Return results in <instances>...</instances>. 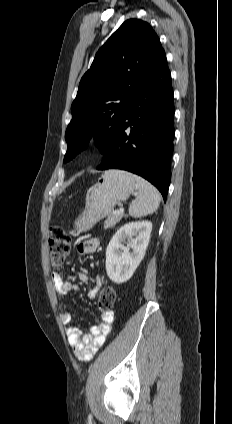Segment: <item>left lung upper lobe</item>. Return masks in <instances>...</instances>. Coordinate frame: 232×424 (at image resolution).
<instances>
[{
	"label": "left lung upper lobe",
	"mask_w": 232,
	"mask_h": 424,
	"mask_svg": "<svg viewBox=\"0 0 232 424\" xmlns=\"http://www.w3.org/2000/svg\"><path fill=\"white\" fill-rule=\"evenodd\" d=\"M165 57L157 34L145 21L129 19L111 35L80 81L65 133L64 162L83 150L93 135L104 154L133 96Z\"/></svg>",
	"instance_id": "obj_1"
}]
</instances>
